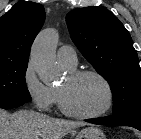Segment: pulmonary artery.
Wrapping results in <instances>:
<instances>
[{"label":"pulmonary artery","mask_w":141,"mask_h":139,"mask_svg":"<svg viewBox=\"0 0 141 139\" xmlns=\"http://www.w3.org/2000/svg\"><path fill=\"white\" fill-rule=\"evenodd\" d=\"M57 60L66 68H75L78 62L75 50L68 45L61 46L58 49Z\"/></svg>","instance_id":"pulmonary-artery-1"}]
</instances>
